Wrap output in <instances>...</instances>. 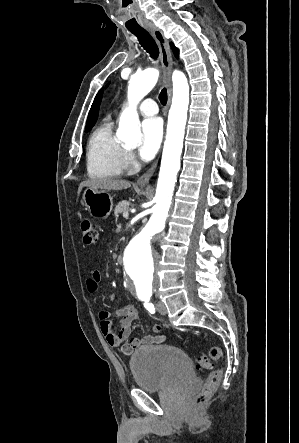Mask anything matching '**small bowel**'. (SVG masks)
I'll return each instance as SVG.
<instances>
[{"label": "small bowel", "instance_id": "1", "mask_svg": "<svg viewBox=\"0 0 299 443\" xmlns=\"http://www.w3.org/2000/svg\"><path fill=\"white\" fill-rule=\"evenodd\" d=\"M101 282V273L98 270L91 272L86 281V289L89 293H96ZM101 332L111 346H121L124 354L131 353L134 349L161 344L165 341V336L158 334L162 326L154 324L152 332L154 334L143 337H131L132 326L138 319V311L133 305H124L114 313L115 323L111 320V314L106 310L98 312ZM128 341L127 343H125Z\"/></svg>", "mask_w": 299, "mask_h": 443}]
</instances>
